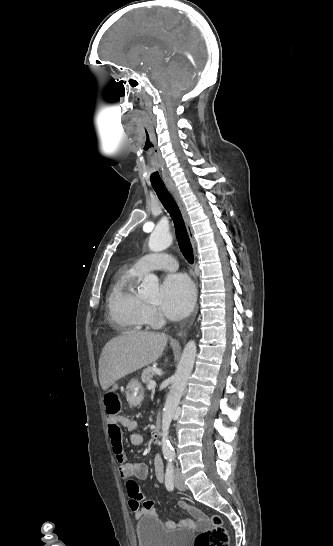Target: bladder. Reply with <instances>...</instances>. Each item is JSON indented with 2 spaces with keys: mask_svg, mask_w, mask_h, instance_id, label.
Returning a JSON list of instances; mask_svg holds the SVG:
<instances>
[{
  "mask_svg": "<svg viewBox=\"0 0 333 546\" xmlns=\"http://www.w3.org/2000/svg\"><path fill=\"white\" fill-rule=\"evenodd\" d=\"M135 529L139 546H191L194 536L188 529L168 530L150 515L142 516Z\"/></svg>",
  "mask_w": 333,
  "mask_h": 546,
  "instance_id": "bladder-1",
  "label": "bladder"
}]
</instances>
